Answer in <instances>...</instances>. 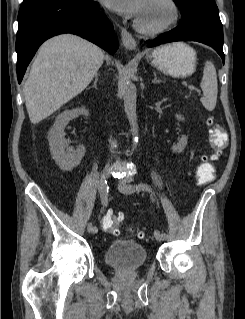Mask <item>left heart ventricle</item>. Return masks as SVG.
Wrapping results in <instances>:
<instances>
[{"label":"left heart ventricle","instance_id":"1","mask_svg":"<svg viewBox=\"0 0 245 319\" xmlns=\"http://www.w3.org/2000/svg\"><path fill=\"white\" fill-rule=\"evenodd\" d=\"M170 17L171 11L162 0H147L138 20L143 24L156 26L165 23Z\"/></svg>","mask_w":245,"mask_h":319}]
</instances>
